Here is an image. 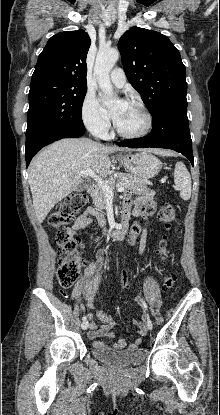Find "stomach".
<instances>
[{
    "instance_id": "1",
    "label": "stomach",
    "mask_w": 220,
    "mask_h": 415,
    "mask_svg": "<svg viewBox=\"0 0 220 415\" xmlns=\"http://www.w3.org/2000/svg\"><path fill=\"white\" fill-rule=\"evenodd\" d=\"M118 160L130 173L142 179L154 177L162 167L158 158L144 150L134 154L121 155Z\"/></svg>"
}]
</instances>
